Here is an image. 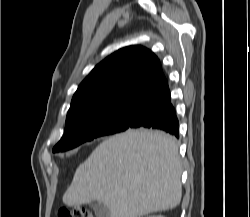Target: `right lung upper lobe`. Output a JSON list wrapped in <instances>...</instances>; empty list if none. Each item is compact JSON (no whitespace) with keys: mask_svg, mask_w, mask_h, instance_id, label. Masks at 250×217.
<instances>
[{"mask_svg":"<svg viewBox=\"0 0 250 217\" xmlns=\"http://www.w3.org/2000/svg\"><path fill=\"white\" fill-rule=\"evenodd\" d=\"M167 81L158 58L147 48H122L100 62L75 92L66 120L126 103H140Z\"/></svg>","mask_w":250,"mask_h":217,"instance_id":"cb5924a9","label":"right lung upper lobe"}]
</instances>
